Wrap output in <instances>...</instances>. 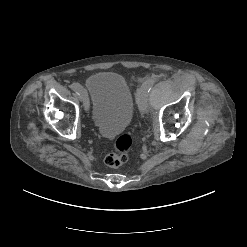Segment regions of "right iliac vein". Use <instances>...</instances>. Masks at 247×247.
Returning <instances> with one entry per match:
<instances>
[{"label": "right iliac vein", "mask_w": 247, "mask_h": 247, "mask_svg": "<svg viewBox=\"0 0 247 247\" xmlns=\"http://www.w3.org/2000/svg\"><path fill=\"white\" fill-rule=\"evenodd\" d=\"M77 97L81 102H83L84 110L87 112L89 110V101L86 92L83 90L82 92L77 94Z\"/></svg>", "instance_id": "right-iliac-vein-1"}]
</instances>
